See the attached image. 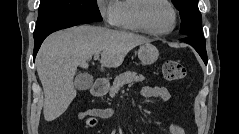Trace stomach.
<instances>
[{"instance_id":"1","label":"stomach","mask_w":239,"mask_h":134,"mask_svg":"<svg viewBox=\"0 0 239 134\" xmlns=\"http://www.w3.org/2000/svg\"><path fill=\"white\" fill-rule=\"evenodd\" d=\"M159 51L151 43H145L138 50V57L142 64L151 65L158 59Z\"/></svg>"}]
</instances>
